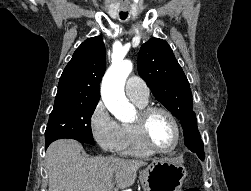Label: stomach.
Returning <instances> with one entry per match:
<instances>
[{"instance_id":"0dacf381","label":"stomach","mask_w":251,"mask_h":191,"mask_svg":"<svg viewBox=\"0 0 251 191\" xmlns=\"http://www.w3.org/2000/svg\"><path fill=\"white\" fill-rule=\"evenodd\" d=\"M186 175L184 165L173 163L167 157H155L140 171L139 179L144 191H181Z\"/></svg>"}]
</instances>
